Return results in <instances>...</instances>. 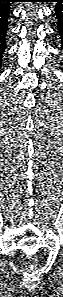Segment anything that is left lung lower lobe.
Listing matches in <instances>:
<instances>
[{
    "label": "left lung lower lobe",
    "mask_w": 63,
    "mask_h": 297,
    "mask_svg": "<svg viewBox=\"0 0 63 297\" xmlns=\"http://www.w3.org/2000/svg\"><path fill=\"white\" fill-rule=\"evenodd\" d=\"M51 2H57L55 7V14L58 18V31L63 42V0H52Z\"/></svg>",
    "instance_id": "obj_1"
}]
</instances>
